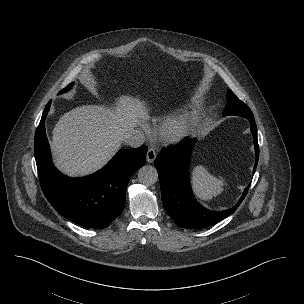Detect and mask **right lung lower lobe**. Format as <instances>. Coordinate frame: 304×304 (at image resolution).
I'll use <instances>...</instances> for the list:
<instances>
[{
    "mask_svg": "<svg viewBox=\"0 0 304 304\" xmlns=\"http://www.w3.org/2000/svg\"><path fill=\"white\" fill-rule=\"evenodd\" d=\"M43 112L35 133V159L41 188L50 204L62 216L88 228H105L125 206V194L131 176L144 165L147 147L122 150L98 172L83 178H69L51 161Z\"/></svg>",
    "mask_w": 304,
    "mask_h": 304,
    "instance_id": "right-lung-lower-lobe-1",
    "label": "right lung lower lobe"
}]
</instances>
